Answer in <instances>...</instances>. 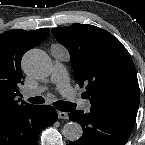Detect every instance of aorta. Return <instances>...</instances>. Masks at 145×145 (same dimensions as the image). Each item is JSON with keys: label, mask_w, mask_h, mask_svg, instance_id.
Returning <instances> with one entry per match:
<instances>
[{"label": "aorta", "mask_w": 145, "mask_h": 145, "mask_svg": "<svg viewBox=\"0 0 145 145\" xmlns=\"http://www.w3.org/2000/svg\"><path fill=\"white\" fill-rule=\"evenodd\" d=\"M24 71L37 79L47 78L52 70V63L48 55L39 49L29 50L23 57ZM62 133L69 141H77L83 134L81 125L77 122H68L63 126Z\"/></svg>", "instance_id": "762f6f07"}]
</instances>
